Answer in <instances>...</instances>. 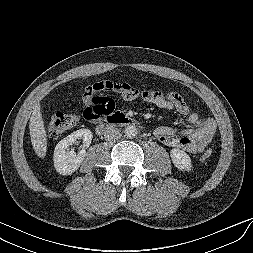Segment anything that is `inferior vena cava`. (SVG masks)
I'll return each mask as SVG.
<instances>
[{
    "label": "inferior vena cava",
    "mask_w": 253,
    "mask_h": 253,
    "mask_svg": "<svg viewBox=\"0 0 253 253\" xmlns=\"http://www.w3.org/2000/svg\"><path fill=\"white\" fill-rule=\"evenodd\" d=\"M122 133L117 128H107L104 132V139L110 142L120 139Z\"/></svg>",
    "instance_id": "inferior-vena-cava-1"
}]
</instances>
